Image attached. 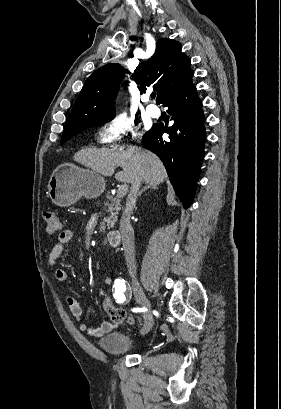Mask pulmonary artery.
I'll use <instances>...</instances> for the list:
<instances>
[{"label": "pulmonary artery", "mask_w": 281, "mask_h": 409, "mask_svg": "<svg viewBox=\"0 0 281 409\" xmlns=\"http://www.w3.org/2000/svg\"><path fill=\"white\" fill-rule=\"evenodd\" d=\"M147 114L154 119H158L161 116V111L157 107L149 106L147 107Z\"/></svg>", "instance_id": "1"}]
</instances>
